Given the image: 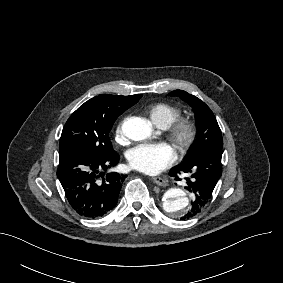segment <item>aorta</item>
<instances>
[{"mask_svg": "<svg viewBox=\"0 0 283 283\" xmlns=\"http://www.w3.org/2000/svg\"><path fill=\"white\" fill-rule=\"evenodd\" d=\"M126 137L141 141L151 136L153 128L150 121L140 117H130L122 124ZM188 193L181 188H170L163 195V209L171 217L179 218L189 210Z\"/></svg>", "mask_w": 283, "mask_h": 283, "instance_id": "1", "label": "aorta"}]
</instances>
